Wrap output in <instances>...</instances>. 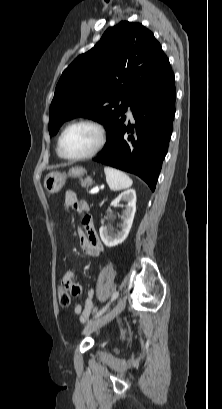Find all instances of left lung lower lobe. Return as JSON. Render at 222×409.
<instances>
[{
    "mask_svg": "<svg viewBox=\"0 0 222 409\" xmlns=\"http://www.w3.org/2000/svg\"><path fill=\"white\" fill-rule=\"evenodd\" d=\"M175 83L172 70L137 94L131 105L136 121L125 124L127 107L107 131V143L94 160L142 178L155 190L168 150L175 115ZM128 133L127 139H124Z\"/></svg>",
    "mask_w": 222,
    "mask_h": 409,
    "instance_id": "1",
    "label": "left lung lower lobe"
}]
</instances>
